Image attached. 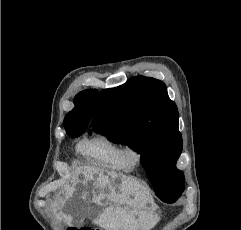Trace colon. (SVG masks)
<instances>
[{"label": "colon", "instance_id": "1", "mask_svg": "<svg viewBox=\"0 0 241 230\" xmlns=\"http://www.w3.org/2000/svg\"><path fill=\"white\" fill-rule=\"evenodd\" d=\"M81 230H94V229H92V228H90V227H84V228H82Z\"/></svg>", "mask_w": 241, "mask_h": 230}]
</instances>
